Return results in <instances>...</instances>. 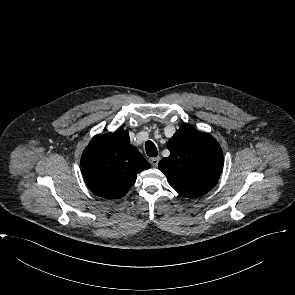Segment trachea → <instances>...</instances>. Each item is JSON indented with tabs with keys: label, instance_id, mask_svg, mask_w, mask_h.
Instances as JSON below:
<instances>
[{
	"label": "trachea",
	"instance_id": "obj_1",
	"mask_svg": "<svg viewBox=\"0 0 295 295\" xmlns=\"http://www.w3.org/2000/svg\"><path fill=\"white\" fill-rule=\"evenodd\" d=\"M145 150L149 157H156L158 154L157 148L152 141H147L145 143Z\"/></svg>",
	"mask_w": 295,
	"mask_h": 295
}]
</instances>
